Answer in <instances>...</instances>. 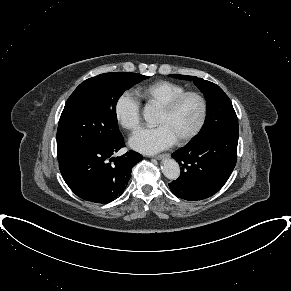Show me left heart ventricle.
Returning <instances> with one entry per match:
<instances>
[{"mask_svg": "<svg viewBox=\"0 0 291 291\" xmlns=\"http://www.w3.org/2000/svg\"><path fill=\"white\" fill-rule=\"evenodd\" d=\"M200 103L195 97H187L172 113L160 110L157 125H165L179 140L190 133L200 117Z\"/></svg>", "mask_w": 291, "mask_h": 291, "instance_id": "b2bd125f", "label": "left heart ventricle"}]
</instances>
